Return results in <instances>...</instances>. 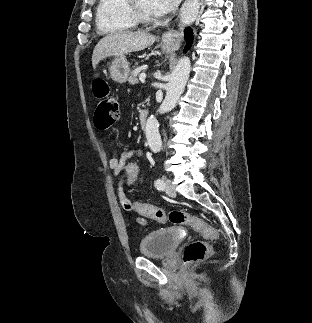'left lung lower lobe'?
Masks as SVG:
<instances>
[{
    "mask_svg": "<svg viewBox=\"0 0 312 323\" xmlns=\"http://www.w3.org/2000/svg\"><path fill=\"white\" fill-rule=\"evenodd\" d=\"M184 37H185V39L187 41V44H186V46L184 48V52H186L191 47V45L193 43V32H192V30L190 28H186L184 30Z\"/></svg>",
    "mask_w": 312,
    "mask_h": 323,
    "instance_id": "1",
    "label": "left lung lower lobe"
}]
</instances>
